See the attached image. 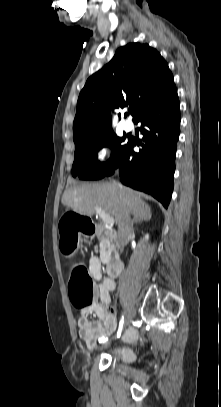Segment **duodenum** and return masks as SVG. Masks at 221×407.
I'll use <instances>...</instances> for the list:
<instances>
[{"label": "duodenum", "instance_id": "1", "mask_svg": "<svg viewBox=\"0 0 221 407\" xmlns=\"http://www.w3.org/2000/svg\"><path fill=\"white\" fill-rule=\"evenodd\" d=\"M102 229V228H101ZM100 229V231H101ZM124 268L123 262L120 259H112L107 265V272L109 277L115 279L120 276Z\"/></svg>", "mask_w": 221, "mask_h": 407}]
</instances>
